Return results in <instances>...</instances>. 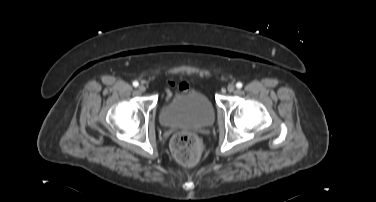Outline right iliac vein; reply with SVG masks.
I'll use <instances>...</instances> for the list:
<instances>
[{
    "label": "right iliac vein",
    "mask_w": 376,
    "mask_h": 202,
    "mask_svg": "<svg viewBox=\"0 0 376 202\" xmlns=\"http://www.w3.org/2000/svg\"><path fill=\"white\" fill-rule=\"evenodd\" d=\"M138 90H139L140 92H145L146 87H145L144 85H140V86L138 87Z\"/></svg>",
    "instance_id": "63e3f726"
}]
</instances>
